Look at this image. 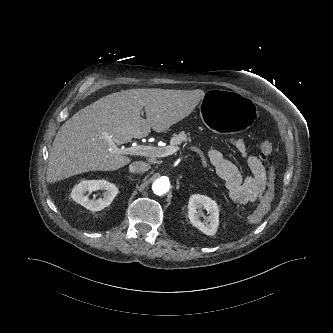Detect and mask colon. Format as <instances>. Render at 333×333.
<instances>
[{
	"label": "colon",
	"instance_id": "colon-1",
	"mask_svg": "<svg viewBox=\"0 0 333 333\" xmlns=\"http://www.w3.org/2000/svg\"><path fill=\"white\" fill-rule=\"evenodd\" d=\"M259 150L262 159L268 161L273 150V143L269 136L263 138V140L260 143ZM274 179H275L274 167L273 165L270 164L268 188L259 206L248 217L251 223L254 224L259 223L263 219L267 211L270 209L274 196Z\"/></svg>",
	"mask_w": 333,
	"mask_h": 333
}]
</instances>
